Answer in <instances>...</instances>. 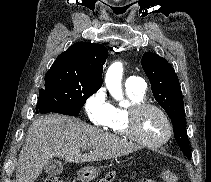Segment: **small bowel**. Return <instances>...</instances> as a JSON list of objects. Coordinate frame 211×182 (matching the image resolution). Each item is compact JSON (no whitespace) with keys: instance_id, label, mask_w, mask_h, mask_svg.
I'll return each instance as SVG.
<instances>
[{"instance_id":"c3829d8e","label":"small bowel","mask_w":211,"mask_h":182,"mask_svg":"<svg viewBox=\"0 0 211 182\" xmlns=\"http://www.w3.org/2000/svg\"><path fill=\"white\" fill-rule=\"evenodd\" d=\"M144 182H154V181L146 180V181H144Z\"/></svg>"}]
</instances>
